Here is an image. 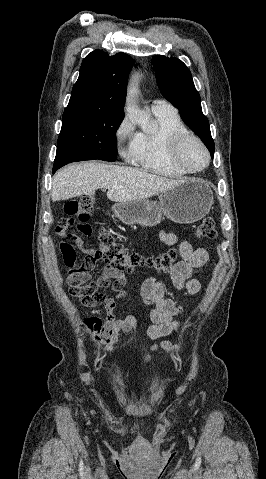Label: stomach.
Here are the masks:
<instances>
[{
	"instance_id": "1",
	"label": "stomach",
	"mask_w": 266,
	"mask_h": 479,
	"mask_svg": "<svg viewBox=\"0 0 266 479\" xmlns=\"http://www.w3.org/2000/svg\"><path fill=\"white\" fill-rule=\"evenodd\" d=\"M213 194L210 187L199 179H188L162 192L159 201L148 199L118 202L112 211L127 225L156 226L164 217L190 224L202 219L210 211Z\"/></svg>"
}]
</instances>
